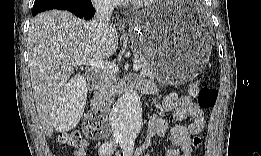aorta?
Listing matches in <instances>:
<instances>
[{
	"label": "aorta",
	"mask_w": 261,
	"mask_h": 156,
	"mask_svg": "<svg viewBox=\"0 0 261 156\" xmlns=\"http://www.w3.org/2000/svg\"><path fill=\"white\" fill-rule=\"evenodd\" d=\"M142 106L139 94L129 91L114 104L110 113V125L119 142H132L142 127Z\"/></svg>",
	"instance_id": "aorta-1"
}]
</instances>
